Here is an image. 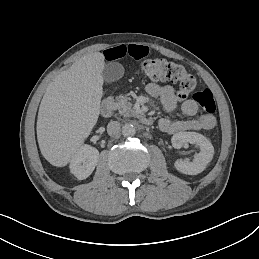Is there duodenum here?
I'll use <instances>...</instances> for the list:
<instances>
[{
  "mask_svg": "<svg viewBox=\"0 0 259 259\" xmlns=\"http://www.w3.org/2000/svg\"><path fill=\"white\" fill-rule=\"evenodd\" d=\"M113 109H114V103L111 99L106 98V99L102 100V102L100 104V111L104 117L111 116ZM141 121L145 125H151L154 122V120L150 117H143Z\"/></svg>",
  "mask_w": 259,
  "mask_h": 259,
  "instance_id": "obj_1",
  "label": "duodenum"
}]
</instances>
